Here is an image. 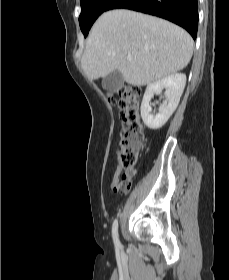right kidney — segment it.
Listing matches in <instances>:
<instances>
[{"label":"right kidney","instance_id":"ca27d5eb","mask_svg":"<svg viewBox=\"0 0 229 280\" xmlns=\"http://www.w3.org/2000/svg\"><path fill=\"white\" fill-rule=\"evenodd\" d=\"M185 84L186 75L175 73L147 85L141 103V117L148 128L160 129L168 121L179 104ZM163 89H165V100L159 107V113L154 116L149 103L154 94H160Z\"/></svg>","mask_w":229,"mask_h":280}]
</instances>
